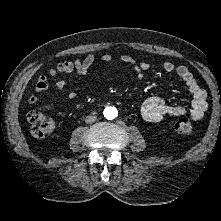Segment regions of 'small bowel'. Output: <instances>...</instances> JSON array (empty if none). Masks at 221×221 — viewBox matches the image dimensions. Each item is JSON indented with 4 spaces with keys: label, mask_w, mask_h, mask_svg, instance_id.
Returning a JSON list of instances; mask_svg holds the SVG:
<instances>
[{
    "label": "small bowel",
    "mask_w": 221,
    "mask_h": 221,
    "mask_svg": "<svg viewBox=\"0 0 221 221\" xmlns=\"http://www.w3.org/2000/svg\"><path fill=\"white\" fill-rule=\"evenodd\" d=\"M102 61L106 63H114V59L111 55L105 54L101 57ZM121 61L128 63L132 66L135 74L138 78L143 77L144 71L150 69L151 65L149 62L140 61L137 62L134 58L128 55H122ZM95 57L90 54L83 59H76L74 61H63L58 63L53 69V74L66 73L73 74L75 77H84L87 75L90 67L93 65ZM162 68L167 73H176L180 79L186 84L189 93L192 95L191 108L189 110L190 116L194 120H200L206 109H207V93L198 84L194 75L190 69L185 65L176 66L171 61H164ZM71 76L58 80L55 84L56 89L62 92L67 85L68 80ZM48 89V83L45 76H40L36 81L35 93L28 97V102L34 104L38 100V95ZM71 100H76L78 94L71 92L69 94ZM142 116L151 122H158L166 115L170 116H181L186 113V109L181 106H172L167 104L164 99L158 96L148 98L141 107Z\"/></svg>",
    "instance_id": "c3829d8e"
}]
</instances>
